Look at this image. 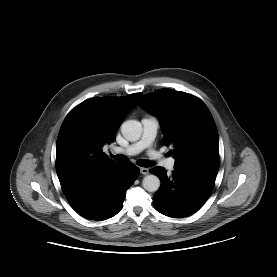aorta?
<instances>
[{
    "instance_id": "obj_1",
    "label": "aorta",
    "mask_w": 277,
    "mask_h": 277,
    "mask_svg": "<svg viewBox=\"0 0 277 277\" xmlns=\"http://www.w3.org/2000/svg\"><path fill=\"white\" fill-rule=\"evenodd\" d=\"M121 132L126 140L135 142L141 137L142 125L139 121L127 120L122 123ZM142 186L148 192H156L160 188V180L155 175H147L143 178Z\"/></svg>"
}]
</instances>
